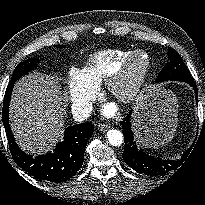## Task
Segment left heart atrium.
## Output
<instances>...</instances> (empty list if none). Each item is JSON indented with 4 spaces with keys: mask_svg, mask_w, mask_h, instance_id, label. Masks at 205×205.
Instances as JSON below:
<instances>
[{
    "mask_svg": "<svg viewBox=\"0 0 205 205\" xmlns=\"http://www.w3.org/2000/svg\"><path fill=\"white\" fill-rule=\"evenodd\" d=\"M114 106L113 105H110V106H106L104 108V114L107 115V116H112L114 114Z\"/></svg>",
    "mask_w": 205,
    "mask_h": 205,
    "instance_id": "1",
    "label": "left heart atrium"
}]
</instances>
